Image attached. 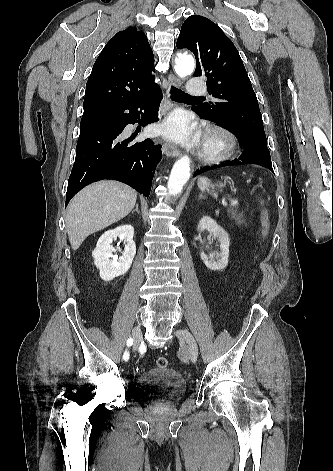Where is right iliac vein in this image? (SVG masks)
<instances>
[{
    "label": "right iliac vein",
    "mask_w": 333,
    "mask_h": 471,
    "mask_svg": "<svg viewBox=\"0 0 333 471\" xmlns=\"http://www.w3.org/2000/svg\"><path fill=\"white\" fill-rule=\"evenodd\" d=\"M132 336H133V339H134L133 351H136L138 349V346H139L140 342L142 341V331H141V328L139 326H136V327L133 328Z\"/></svg>",
    "instance_id": "obj_1"
}]
</instances>
